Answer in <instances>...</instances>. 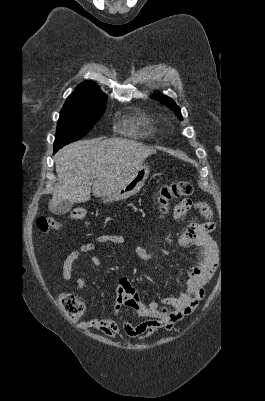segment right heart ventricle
Masks as SVG:
<instances>
[{
    "label": "right heart ventricle",
    "mask_w": 265,
    "mask_h": 401,
    "mask_svg": "<svg viewBox=\"0 0 265 401\" xmlns=\"http://www.w3.org/2000/svg\"><path fill=\"white\" fill-rule=\"evenodd\" d=\"M150 123H151L150 118L146 114L140 113L135 118L134 129L140 130L141 128L149 125Z\"/></svg>",
    "instance_id": "right-heart-ventricle-1"
}]
</instances>
